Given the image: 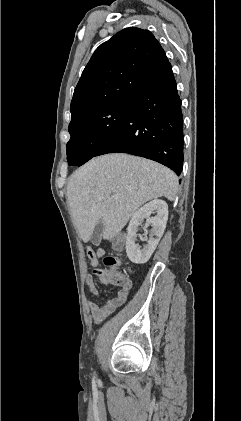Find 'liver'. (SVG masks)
I'll return each mask as SVG.
<instances>
[{"label":"liver","instance_id":"6515ba94","mask_svg":"<svg viewBox=\"0 0 241 421\" xmlns=\"http://www.w3.org/2000/svg\"><path fill=\"white\" fill-rule=\"evenodd\" d=\"M177 191L178 178L169 168L114 153L93 158L77 169L70 176L67 199L78 235L88 242L100 220L103 238H114L144 203L162 196L173 201Z\"/></svg>","mask_w":241,"mask_h":421}]
</instances>
